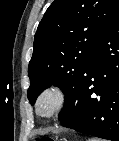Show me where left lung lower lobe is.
<instances>
[{
    "label": "left lung lower lobe",
    "instance_id": "obj_1",
    "mask_svg": "<svg viewBox=\"0 0 119 141\" xmlns=\"http://www.w3.org/2000/svg\"><path fill=\"white\" fill-rule=\"evenodd\" d=\"M58 120L67 128L119 141V12L100 37L77 89Z\"/></svg>",
    "mask_w": 119,
    "mask_h": 141
}]
</instances>
